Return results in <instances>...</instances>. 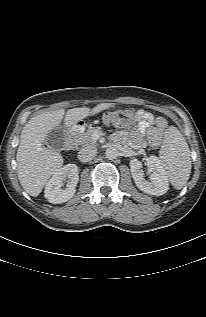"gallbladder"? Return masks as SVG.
Returning <instances> with one entry per match:
<instances>
[{"label":"gallbladder","instance_id":"1","mask_svg":"<svg viewBox=\"0 0 206 317\" xmlns=\"http://www.w3.org/2000/svg\"><path fill=\"white\" fill-rule=\"evenodd\" d=\"M65 144V130L63 127H56L46 137V145L55 151L63 149Z\"/></svg>","mask_w":206,"mask_h":317}]
</instances>
